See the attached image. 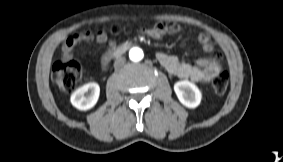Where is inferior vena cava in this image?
I'll return each mask as SVG.
<instances>
[{
    "label": "inferior vena cava",
    "mask_w": 283,
    "mask_h": 162,
    "mask_svg": "<svg viewBox=\"0 0 283 162\" xmlns=\"http://www.w3.org/2000/svg\"><path fill=\"white\" fill-rule=\"evenodd\" d=\"M126 62L125 57H118L114 62V67L122 66Z\"/></svg>",
    "instance_id": "602c4592"
}]
</instances>
